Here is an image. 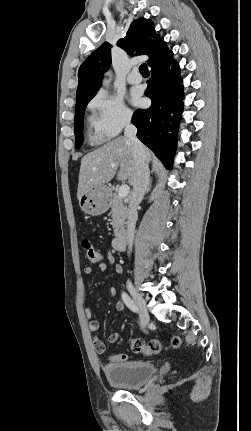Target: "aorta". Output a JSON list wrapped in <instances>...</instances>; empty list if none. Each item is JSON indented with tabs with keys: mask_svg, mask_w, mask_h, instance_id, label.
I'll use <instances>...</instances> for the list:
<instances>
[{
	"mask_svg": "<svg viewBox=\"0 0 251 431\" xmlns=\"http://www.w3.org/2000/svg\"><path fill=\"white\" fill-rule=\"evenodd\" d=\"M110 77V72H108V73H106L105 74V78H104V80H103V85L104 86H106V87H108V84H109V78H107V77Z\"/></svg>",
	"mask_w": 251,
	"mask_h": 431,
	"instance_id": "1",
	"label": "aorta"
}]
</instances>
